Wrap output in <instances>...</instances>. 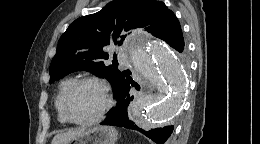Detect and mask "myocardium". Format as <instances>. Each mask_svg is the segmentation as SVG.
<instances>
[{
    "mask_svg": "<svg viewBox=\"0 0 260 144\" xmlns=\"http://www.w3.org/2000/svg\"><path fill=\"white\" fill-rule=\"evenodd\" d=\"M85 83L94 84L95 86H97L100 89L102 96H103L104 103H103V106H102L100 112L95 117L86 119V120H78V119L73 118L72 115L70 114L69 109H68V104H69V100H70L72 94L74 93V91L80 85L85 84ZM110 107H111V97L109 94V90H108L106 84L102 80L95 78V77H83V78L76 79L71 84V86L68 88V90L66 91V93L63 97V100H62V111H63L65 118L67 119L68 122L76 124V125H91V124L99 122L104 117V115L107 113V111L110 109Z\"/></svg>",
    "mask_w": 260,
    "mask_h": 144,
    "instance_id": "1",
    "label": "myocardium"
}]
</instances>
